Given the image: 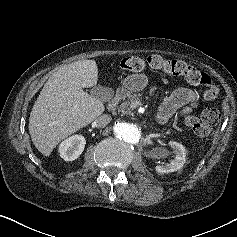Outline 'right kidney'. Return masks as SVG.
<instances>
[{
  "instance_id": "ca27d5eb",
  "label": "right kidney",
  "mask_w": 237,
  "mask_h": 237,
  "mask_svg": "<svg viewBox=\"0 0 237 237\" xmlns=\"http://www.w3.org/2000/svg\"><path fill=\"white\" fill-rule=\"evenodd\" d=\"M86 140L82 135H73L59 145V153L65 161H73L77 159L84 150Z\"/></svg>"
}]
</instances>
